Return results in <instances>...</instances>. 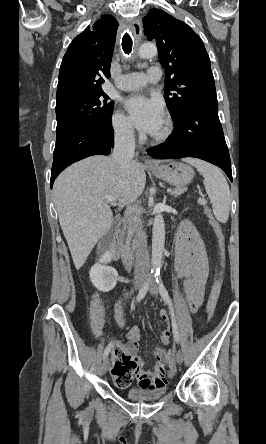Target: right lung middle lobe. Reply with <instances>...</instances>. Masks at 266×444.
<instances>
[{
  "label": "right lung middle lobe",
  "mask_w": 266,
  "mask_h": 444,
  "mask_svg": "<svg viewBox=\"0 0 266 444\" xmlns=\"http://www.w3.org/2000/svg\"><path fill=\"white\" fill-rule=\"evenodd\" d=\"M102 89L74 92L56 99L57 139L92 126L111 122L113 102Z\"/></svg>",
  "instance_id": "obj_1"
}]
</instances>
